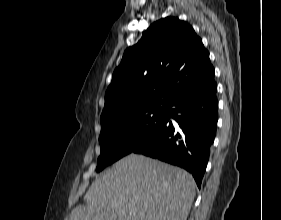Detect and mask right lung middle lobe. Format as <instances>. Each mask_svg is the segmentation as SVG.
Segmentation results:
<instances>
[{"mask_svg": "<svg viewBox=\"0 0 281 220\" xmlns=\"http://www.w3.org/2000/svg\"><path fill=\"white\" fill-rule=\"evenodd\" d=\"M167 109H150L120 117L101 128L97 171L150 140L166 120Z\"/></svg>", "mask_w": 281, "mask_h": 220, "instance_id": "dd1d6c3e", "label": "right lung middle lobe"}]
</instances>
